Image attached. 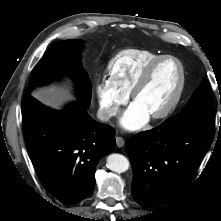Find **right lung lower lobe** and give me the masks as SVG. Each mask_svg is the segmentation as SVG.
Wrapping results in <instances>:
<instances>
[{"label":"right lung lower lobe","instance_id":"98d812e1","mask_svg":"<svg viewBox=\"0 0 221 221\" xmlns=\"http://www.w3.org/2000/svg\"><path fill=\"white\" fill-rule=\"evenodd\" d=\"M79 100L63 110L31 95L22 101V125L36 173L45 189L66 204L79 202L95 186L98 161L115 147V130L93 120Z\"/></svg>","mask_w":221,"mask_h":221}]
</instances>
